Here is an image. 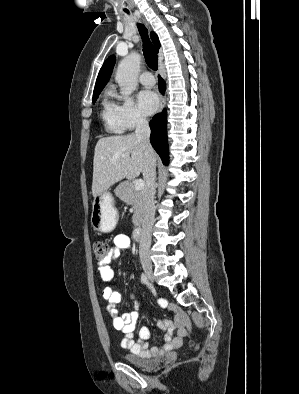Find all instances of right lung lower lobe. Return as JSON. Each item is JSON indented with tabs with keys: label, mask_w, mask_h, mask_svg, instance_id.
I'll return each mask as SVG.
<instances>
[{
	"label": "right lung lower lobe",
	"mask_w": 299,
	"mask_h": 394,
	"mask_svg": "<svg viewBox=\"0 0 299 394\" xmlns=\"http://www.w3.org/2000/svg\"><path fill=\"white\" fill-rule=\"evenodd\" d=\"M160 92L164 93L165 83L163 79L158 77ZM151 135L150 142L156 152L160 155L164 164H168L169 150L167 142V115L166 110L157 114L150 121Z\"/></svg>",
	"instance_id": "obj_1"
}]
</instances>
